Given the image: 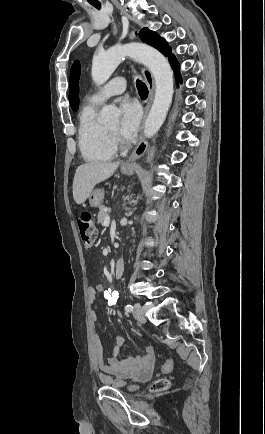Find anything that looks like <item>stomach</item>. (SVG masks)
Segmentation results:
<instances>
[{
	"label": "stomach",
	"mask_w": 265,
	"mask_h": 434,
	"mask_svg": "<svg viewBox=\"0 0 265 434\" xmlns=\"http://www.w3.org/2000/svg\"><path fill=\"white\" fill-rule=\"evenodd\" d=\"M134 166L132 168H125V166H121L122 174H131L133 172ZM104 198V190H93L89 196V204L93 206V208H98L101 206Z\"/></svg>",
	"instance_id": "stomach-1"
}]
</instances>
